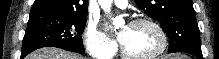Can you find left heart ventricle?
Returning <instances> with one entry per match:
<instances>
[{"mask_svg": "<svg viewBox=\"0 0 219 59\" xmlns=\"http://www.w3.org/2000/svg\"><path fill=\"white\" fill-rule=\"evenodd\" d=\"M120 33H125V37L121 42L123 47L133 55L150 54L160 44L157 32L149 25L124 27Z\"/></svg>", "mask_w": 219, "mask_h": 59, "instance_id": "b2bd125f", "label": "left heart ventricle"}]
</instances>
